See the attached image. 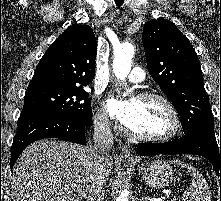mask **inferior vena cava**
<instances>
[{"instance_id": "602c4592", "label": "inferior vena cava", "mask_w": 221, "mask_h": 201, "mask_svg": "<svg viewBox=\"0 0 221 201\" xmlns=\"http://www.w3.org/2000/svg\"><path fill=\"white\" fill-rule=\"evenodd\" d=\"M94 145L90 146L92 173L87 201H104L106 189L109 150L113 146V134L108 118L100 117L94 121Z\"/></svg>"}]
</instances>
